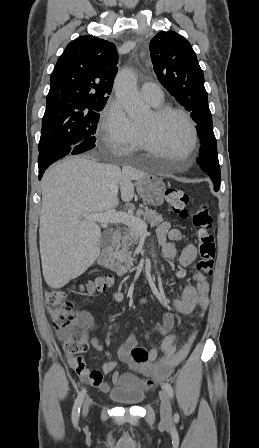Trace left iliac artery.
Returning a JSON list of instances; mask_svg holds the SVG:
<instances>
[{
	"instance_id": "left-iliac-artery-1",
	"label": "left iliac artery",
	"mask_w": 259,
	"mask_h": 448,
	"mask_svg": "<svg viewBox=\"0 0 259 448\" xmlns=\"http://www.w3.org/2000/svg\"><path fill=\"white\" fill-rule=\"evenodd\" d=\"M163 388H164L165 391L168 393L169 397L172 399L173 396H174V391H173V388H172L171 384L168 383V382H167V383H164V384H163ZM174 419H175V421H178V419H179V415H178L177 413L175 414Z\"/></svg>"
}]
</instances>
